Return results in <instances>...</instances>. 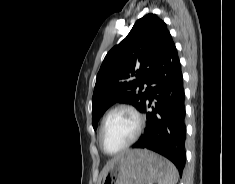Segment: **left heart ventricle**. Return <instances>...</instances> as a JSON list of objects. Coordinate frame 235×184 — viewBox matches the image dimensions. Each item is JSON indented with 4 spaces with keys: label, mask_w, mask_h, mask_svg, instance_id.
Returning a JSON list of instances; mask_svg holds the SVG:
<instances>
[{
    "label": "left heart ventricle",
    "mask_w": 235,
    "mask_h": 184,
    "mask_svg": "<svg viewBox=\"0 0 235 184\" xmlns=\"http://www.w3.org/2000/svg\"><path fill=\"white\" fill-rule=\"evenodd\" d=\"M136 118L127 110L114 113L102 135V144L108 152L121 149L135 134Z\"/></svg>",
    "instance_id": "b2bd125f"
}]
</instances>
